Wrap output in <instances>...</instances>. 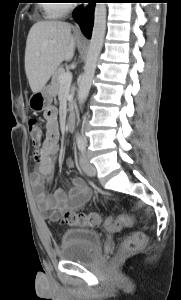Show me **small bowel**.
<instances>
[{"instance_id": "1", "label": "small bowel", "mask_w": 181, "mask_h": 300, "mask_svg": "<svg viewBox=\"0 0 181 300\" xmlns=\"http://www.w3.org/2000/svg\"><path fill=\"white\" fill-rule=\"evenodd\" d=\"M46 122V138L42 147L34 154L37 171L32 177V184L36 190V198L43 212L51 220H56L63 212L80 209L90 198L89 188L80 178L71 181L68 192L58 188L52 194L46 192V182L51 179L54 172V157L59 151V122L58 110L51 106L44 112ZM67 165L73 166V161L68 160Z\"/></svg>"}]
</instances>
